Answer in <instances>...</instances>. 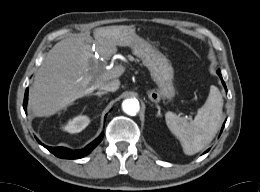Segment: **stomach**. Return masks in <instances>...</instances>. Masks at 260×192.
<instances>
[{"instance_id":"obj_1","label":"stomach","mask_w":260,"mask_h":192,"mask_svg":"<svg viewBox=\"0 0 260 192\" xmlns=\"http://www.w3.org/2000/svg\"><path fill=\"white\" fill-rule=\"evenodd\" d=\"M115 45L128 46L150 72L157 89L147 91L148 97L155 103L161 99L171 101L176 95L174 70L169 61L148 40L138 36L130 27H116L111 30Z\"/></svg>"}]
</instances>
